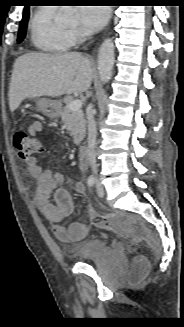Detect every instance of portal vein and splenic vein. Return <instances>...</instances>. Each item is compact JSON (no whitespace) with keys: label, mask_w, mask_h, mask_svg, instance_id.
Instances as JSON below:
<instances>
[{"label":"portal vein and splenic vein","mask_w":184,"mask_h":327,"mask_svg":"<svg viewBox=\"0 0 184 327\" xmlns=\"http://www.w3.org/2000/svg\"><path fill=\"white\" fill-rule=\"evenodd\" d=\"M68 107L71 111H78L81 109L82 107V101L81 100H74V101H71L69 104H68Z\"/></svg>","instance_id":"18ae733b"}]
</instances>
